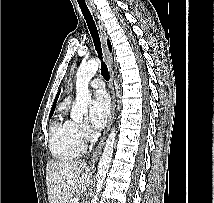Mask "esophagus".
<instances>
[{
    "mask_svg": "<svg viewBox=\"0 0 214 203\" xmlns=\"http://www.w3.org/2000/svg\"><path fill=\"white\" fill-rule=\"evenodd\" d=\"M93 12H94L95 18L97 20L100 37H101V42H102L103 50H104V56H105V60H106L109 72H110V85H111V93H112L111 114H110L106 129L104 130L103 136L101 138V141L98 144V146L95 149L93 156H92V162H95L102 151V148L106 141L107 134L111 128V125H112V122L114 119L115 108H116V96H115V90H114V76H113V71H112L113 59H112L111 53L108 50L106 28L104 26V22L101 19L99 13L95 9H93Z\"/></svg>",
    "mask_w": 214,
    "mask_h": 203,
    "instance_id": "34e87169",
    "label": "esophagus"
}]
</instances>
